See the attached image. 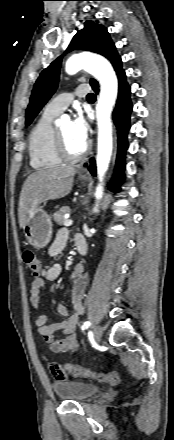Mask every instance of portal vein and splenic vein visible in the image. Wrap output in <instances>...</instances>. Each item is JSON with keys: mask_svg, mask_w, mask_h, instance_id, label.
Returning a JSON list of instances; mask_svg holds the SVG:
<instances>
[{"mask_svg": "<svg viewBox=\"0 0 174 440\" xmlns=\"http://www.w3.org/2000/svg\"><path fill=\"white\" fill-rule=\"evenodd\" d=\"M73 224V221L70 219L65 220L64 226H71Z\"/></svg>", "mask_w": 174, "mask_h": 440, "instance_id": "portal-vein-and-splenic-vein-1", "label": "portal vein and splenic vein"}]
</instances>
